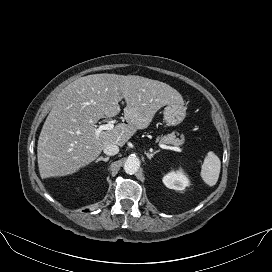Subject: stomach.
Segmentation results:
<instances>
[{
  "label": "stomach",
  "mask_w": 272,
  "mask_h": 272,
  "mask_svg": "<svg viewBox=\"0 0 272 272\" xmlns=\"http://www.w3.org/2000/svg\"><path fill=\"white\" fill-rule=\"evenodd\" d=\"M164 121L168 126L180 124L186 116L184 103L175 102L168 104L163 111Z\"/></svg>",
  "instance_id": "stomach-1"
}]
</instances>
